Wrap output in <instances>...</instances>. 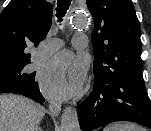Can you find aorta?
<instances>
[{
	"mask_svg": "<svg viewBox=\"0 0 151 131\" xmlns=\"http://www.w3.org/2000/svg\"><path fill=\"white\" fill-rule=\"evenodd\" d=\"M71 24L73 27L83 28L86 25L84 17L81 15L75 16ZM61 131H80L78 115L73 107H66L61 115Z\"/></svg>",
	"mask_w": 151,
	"mask_h": 131,
	"instance_id": "1",
	"label": "aorta"
}]
</instances>
